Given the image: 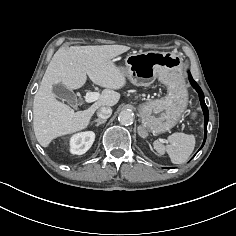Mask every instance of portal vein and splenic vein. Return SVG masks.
Returning a JSON list of instances; mask_svg holds the SVG:
<instances>
[{
	"label": "portal vein and splenic vein",
	"instance_id": "1",
	"mask_svg": "<svg viewBox=\"0 0 236 236\" xmlns=\"http://www.w3.org/2000/svg\"><path fill=\"white\" fill-rule=\"evenodd\" d=\"M99 99V94L97 92H87L85 96V101L87 103L94 102Z\"/></svg>",
	"mask_w": 236,
	"mask_h": 236
}]
</instances>
